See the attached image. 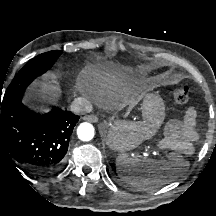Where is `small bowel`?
<instances>
[{
	"instance_id": "obj_1",
	"label": "small bowel",
	"mask_w": 216,
	"mask_h": 216,
	"mask_svg": "<svg viewBox=\"0 0 216 216\" xmlns=\"http://www.w3.org/2000/svg\"><path fill=\"white\" fill-rule=\"evenodd\" d=\"M196 117V110L190 107L182 120L172 119L167 123L164 141L168 148L187 156L193 154V142L199 138Z\"/></svg>"
}]
</instances>
